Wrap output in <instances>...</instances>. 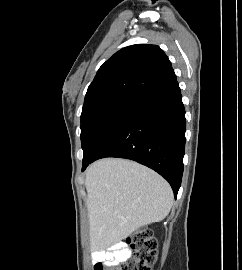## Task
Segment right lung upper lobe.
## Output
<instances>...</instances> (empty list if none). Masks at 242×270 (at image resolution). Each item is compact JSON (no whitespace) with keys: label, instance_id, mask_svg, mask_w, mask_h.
Instances as JSON below:
<instances>
[{"label":"right lung upper lobe","instance_id":"1","mask_svg":"<svg viewBox=\"0 0 242 270\" xmlns=\"http://www.w3.org/2000/svg\"><path fill=\"white\" fill-rule=\"evenodd\" d=\"M175 80L171 62L159 46L125 47L99 68L88 87L82 112L114 101L138 103Z\"/></svg>","mask_w":242,"mask_h":270}]
</instances>
